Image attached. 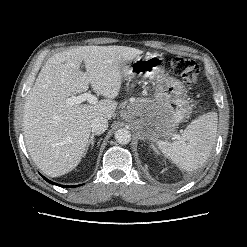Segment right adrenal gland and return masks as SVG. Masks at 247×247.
Returning <instances> with one entry per match:
<instances>
[{"label": "right adrenal gland", "mask_w": 247, "mask_h": 247, "mask_svg": "<svg viewBox=\"0 0 247 247\" xmlns=\"http://www.w3.org/2000/svg\"><path fill=\"white\" fill-rule=\"evenodd\" d=\"M96 135H100V134H98V133H93V134L90 136V139H89L88 144H87V147H86V152L89 150V147H90L91 150L93 149V147H94V137H95Z\"/></svg>", "instance_id": "right-adrenal-gland-1"}]
</instances>
